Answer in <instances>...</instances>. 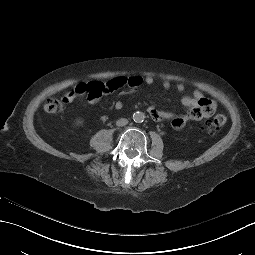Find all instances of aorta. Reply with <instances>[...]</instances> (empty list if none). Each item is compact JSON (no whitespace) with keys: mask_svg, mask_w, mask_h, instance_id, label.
I'll return each instance as SVG.
<instances>
[{"mask_svg":"<svg viewBox=\"0 0 255 255\" xmlns=\"http://www.w3.org/2000/svg\"><path fill=\"white\" fill-rule=\"evenodd\" d=\"M133 121L136 123H142L144 121V114L142 112H135L132 116Z\"/></svg>","mask_w":255,"mask_h":255,"instance_id":"1","label":"aorta"}]
</instances>
